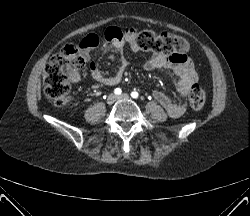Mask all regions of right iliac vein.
Instances as JSON below:
<instances>
[{
  "label": "right iliac vein",
  "instance_id": "right-iliac-vein-1",
  "mask_svg": "<svg viewBox=\"0 0 250 216\" xmlns=\"http://www.w3.org/2000/svg\"><path fill=\"white\" fill-rule=\"evenodd\" d=\"M116 101V96L114 94H110L107 97V104L112 105Z\"/></svg>",
  "mask_w": 250,
  "mask_h": 216
}]
</instances>
